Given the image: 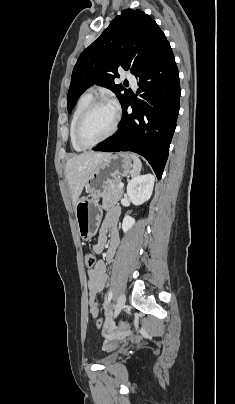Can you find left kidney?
I'll return each instance as SVG.
<instances>
[{"mask_svg": "<svg viewBox=\"0 0 235 404\" xmlns=\"http://www.w3.org/2000/svg\"><path fill=\"white\" fill-rule=\"evenodd\" d=\"M155 177L152 174L138 175L127 185V195L130 201L139 205L150 199L154 187ZM135 224L134 218L126 215L122 222V230L126 233Z\"/></svg>", "mask_w": 235, "mask_h": 404, "instance_id": "5707ae66", "label": "left kidney"}]
</instances>
